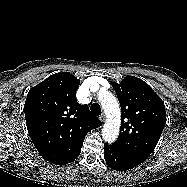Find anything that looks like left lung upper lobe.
<instances>
[{
    "label": "left lung upper lobe",
    "instance_id": "1",
    "mask_svg": "<svg viewBox=\"0 0 187 187\" xmlns=\"http://www.w3.org/2000/svg\"><path fill=\"white\" fill-rule=\"evenodd\" d=\"M122 115L117 140L111 144L124 155L144 161L155 149L166 123L161 98L143 80L127 76L112 83Z\"/></svg>",
    "mask_w": 187,
    "mask_h": 187
}]
</instances>
